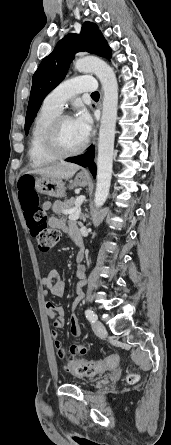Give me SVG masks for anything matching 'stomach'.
<instances>
[{
  "label": "stomach",
  "instance_id": "0dacf381",
  "mask_svg": "<svg viewBox=\"0 0 171 445\" xmlns=\"http://www.w3.org/2000/svg\"><path fill=\"white\" fill-rule=\"evenodd\" d=\"M35 189L41 193L55 198H62L65 196V183L62 179H55L49 177H35L34 178ZM88 183L87 178H81L79 175L75 177V180L71 182L70 188L74 186H86Z\"/></svg>",
  "mask_w": 171,
  "mask_h": 445
}]
</instances>
